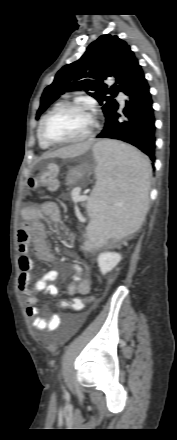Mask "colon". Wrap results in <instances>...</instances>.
Segmentation results:
<instances>
[{
  "label": "colon",
  "mask_w": 177,
  "mask_h": 440,
  "mask_svg": "<svg viewBox=\"0 0 177 440\" xmlns=\"http://www.w3.org/2000/svg\"><path fill=\"white\" fill-rule=\"evenodd\" d=\"M57 173V167L51 166L48 170L30 177L28 184L31 188L46 186L50 190H55L58 187ZM85 302V298H59L57 308L59 311H83Z\"/></svg>",
  "instance_id": "1"
}]
</instances>
